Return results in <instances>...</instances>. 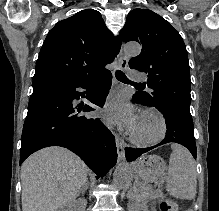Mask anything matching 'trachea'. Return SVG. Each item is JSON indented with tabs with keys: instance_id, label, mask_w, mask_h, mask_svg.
<instances>
[{
	"instance_id": "obj_1",
	"label": "trachea",
	"mask_w": 219,
	"mask_h": 211,
	"mask_svg": "<svg viewBox=\"0 0 219 211\" xmlns=\"http://www.w3.org/2000/svg\"><path fill=\"white\" fill-rule=\"evenodd\" d=\"M115 76H116L117 80L122 81L123 83H132L128 80L126 75L121 70H117L115 73Z\"/></svg>"
}]
</instances>
